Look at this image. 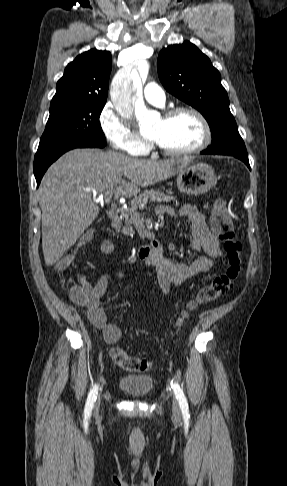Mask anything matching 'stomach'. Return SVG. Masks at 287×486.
<instances>
[{
    "label": "stomach",
    "instance_id": "1",
    "mask_svg": "<svg viewBox=\"0 0 287 486\" xmlns=\"http://www.w3.org/2000/svg\"><path fill=\"white\" fill-rule=\"evenodd\" d=\"M177 187L187 195L207 193L217 184L214 169L199 160L192 158L190 162L177 173Z\"/></svg>",
    "mask_w": 287,
    "mask_h": 486
}]
</instances>
